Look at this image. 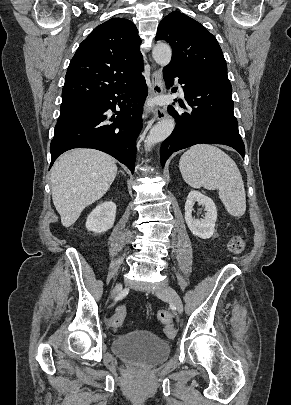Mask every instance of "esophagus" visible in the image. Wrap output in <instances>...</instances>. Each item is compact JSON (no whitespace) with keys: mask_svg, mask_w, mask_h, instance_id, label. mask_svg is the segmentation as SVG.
<instances>
[{"mask_svg":"<svg viewBox=\"0 0 291 405\" xmlns=\"http://www.w3.org/2000/svg\"><path fill=\"white\" fill-rule=\"evenodd\" d=\"M163 75L161 69H157L152 73V95L158 96L163 93ZM155 117L157 120H163L167 117V111L164 107H156L154 111Z\"/></svg>","mask_w":291,"mask_h":405,"instance_id":"1","label":"esophagus"}]
</instances>
